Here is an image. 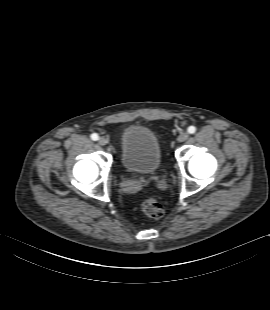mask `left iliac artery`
<instances>
[{
    "mask_svg": "<svg viewBox=\"0 0 270 310\" xmlns=\"http://www.w3.org/2000/svg\"><path fill=\"white\" fill-rule=\"evenodd\" d=\"M188 132H189L190 134L195 133V132H196V127H194V126L188 127Z\"/></svg>",
    "mask_w": 270,
    "mask_h": 310,
    "instance_id": "left-iliac-artery-1",
    "label": "left iliac artery"
}]
</instances>
